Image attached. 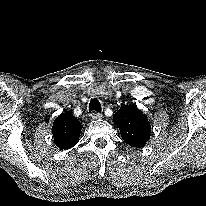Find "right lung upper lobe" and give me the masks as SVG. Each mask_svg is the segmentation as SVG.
<instances>
[{
  "label": "right lung upper lobe",
  "mask_w": 206,
  "mask_h": 206,
  "mask_svg": "<svg viewBox=\"0 0 206 206\" xmlns=\"http://www.w3.org/2000/svg\"><path fill=\"white\" fill-rule=\"evenodd\" d=\"M81 132V123L70 112L60 114L54 121L52 134L57 147L69 149L77 144Z\"/></svg>",
  "instance_id": "right-lung-upper-lobe-1"
}]
</instances>
